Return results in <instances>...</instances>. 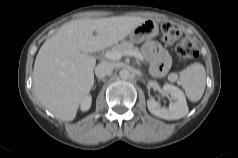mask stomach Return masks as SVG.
Returning a JSON list of instances; mask_svg holds the SVG:
<instances>
[{
    "instance_id": "1",
    "label": "stomach",
    "mask_w": 238,
    "mask_h": 158,
    "mask_svg": "<svg viewBox=\"0 0 238 158\" xmlns=\"http://www.w3.org/2000/svg\"><path fill=\"white\" fill-rule=\"evenodd\" d=\"M158 33L159 27L157 22L152 19H146L129 33V39L132 43H140L154 38Z\"/></svg>"
}]
</instances>
